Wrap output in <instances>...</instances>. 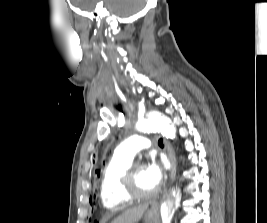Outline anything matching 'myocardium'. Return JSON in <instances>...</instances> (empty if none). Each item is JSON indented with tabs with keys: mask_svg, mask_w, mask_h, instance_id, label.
Wrapping results in <instances>:
<instances>
[{
	"mask_svg": "<svg viewBox=\"0 0 267 223\" xmlns=\"http://www.w3.org/2000/svg\"><path fill=\"white\" fill-rule=\"evenodd\" d=\"M143 164H131L122 177V191L125 198L129 201H144L153 198L157 194V190L149 193H142L136 189L135 174Z\"/></svg>",
	"mask_w": 267,
	"mask_h": 223,
	"instance_id": "obj_1",
	"label": "myocardium"
}]
</instances>
